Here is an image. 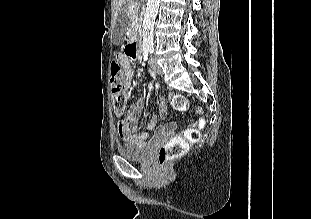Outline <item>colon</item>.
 I'll return each mask as SVG.
<instances>
[{
    "label": "colon",
    "mask_w": 311,
    "mask_h": 219,
    "mask_svg": "<svg viewBox=\"0 0 311 219\" xmlns=\"http://www.w3.org/2000/svg\"><path fill=\"white\" fill-rule=\"evenodd\" d=\"M127 53L131 57H135L137 50L128 48ZM111 83L113 85V107L116 115L124 114L127 93L125 86V76L121 66L117 62L111 65ZM171 105L177 111H184L189 108L188 100L180 95H171ZM204 118L200 117L194 127L186 129L182 135L175 136L166 145L162 146L157 152V160L161 168H165L170 161L182 156L188 150L190 144H195L200 137V129L204 126Z\"/></svg>",
    "instance_id": "obj_1"
}]
</instances>
